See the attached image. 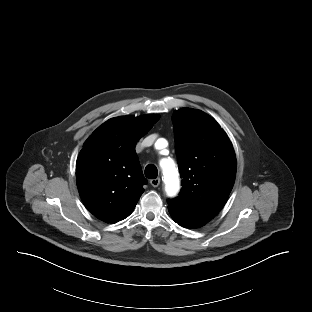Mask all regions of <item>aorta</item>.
<instances>
[{
  "instance_id": "762f6f07",
  "label": "aorta",
  "mask_w": 312,
  "mask_h": 312,
  "mask_svg": "<svg viewBox=\"0 0 312 312\" xmlns=\"http://www.w3.org/2000/svg\"><path fill=\"white\" fill-rule=\"evenodd\" d=\"M160 165L165 178L166 191L169 195H174L179 189L178 171L175 164L171 159H163Z\"/></svg>"
}]
</instances>
